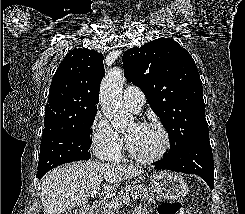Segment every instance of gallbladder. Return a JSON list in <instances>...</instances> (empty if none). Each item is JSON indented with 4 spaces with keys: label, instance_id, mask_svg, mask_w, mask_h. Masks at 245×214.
Returning a JSON list of instances; mask_svg holds the SVG:
<instances>
[{
    "label": "gallbladder",
    "instance_id": "obj_1",
    "mask_svg": "<svg viewBox=\"0 0 245 214\" xmlns=\"http://www.w3.org/2000/svg\"><path fill=\"white\" fill-rule=\"evenodd\" d=\"M61 214H72V210L71 209H67V210L61 212Z\"/></svg>",
    "mask_w": 245,
    "mask_h": 214
}]
</instances>
